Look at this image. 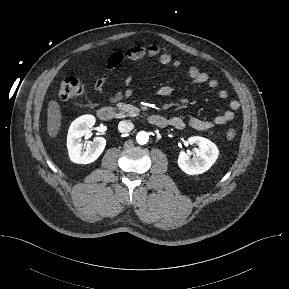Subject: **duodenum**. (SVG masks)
Wrapping results in <instances>:
<instances>
[{
    "instance_id": "410a0bca",
    "label": "duodenum",
    "mask_w": 289,
    "mask_h": 289,
    "mask_svg": "<svg viewBox=\"0 0 289 289\" xmlns=\"http://www.w3.org/2000/svg\"><path fill=\"white\" fill-rule=\"evenodd\" d=\"M98 118L101 121H110L114 118H117L121 115L120 111L112 106H103L97 112ZM146 120L157 127L163 128L168 125V119L159 114H153L146 118Z\"/></svg>"
}]
</instances>
